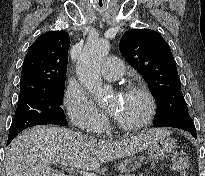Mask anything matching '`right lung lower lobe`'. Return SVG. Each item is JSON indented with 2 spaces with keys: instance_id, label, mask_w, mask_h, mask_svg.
Returning a JSON list of instances; mask_svg holds the SVG:
<instances>
[{
  "instance_id": "98d812e1",
  "label": "right lung lower lobe",
  "mask_w": 205,
  "mask_h": 176,
  "mask_svg": "<svg viewBox=\"0 0 205 176\" xmlns=\"http://www.w3.org/2000/svg\"><path fill=\"white\" fill-rule=\"evenodd\" d=\"M12 140H13V138H12V139H9V140L7 141V145H8Z\"/></svg>"
}]
</instances>
